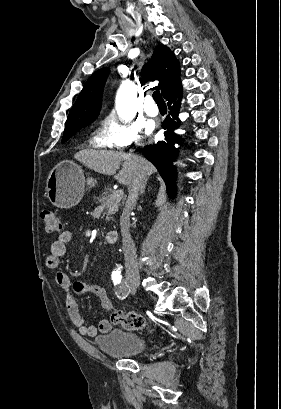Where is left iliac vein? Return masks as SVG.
Listing matches in <instances>:
<instances>
[{
	"mask_svg": "<svg viewBox=\"0 0 281 409\" xmlns=\"http://www.w3.org/2000/svg\"><path fill=\"white\" fill-rule=\"evenodd\" d=\"M131 293H135V290L131 289Z\"/></svg>",
	"mask_w": 281,
	"mask_h": 409,
	"instance_id": "4c4485c4",
	"label": "left iliac vein"
}]
</instances>
